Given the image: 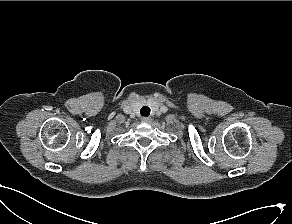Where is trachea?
Returning <instances> with one entry per match:
<instances>
[{
    "label": "trachea",
    "instance_id": "3493384b",
    "mask_svg": "<svg viewBox=\"0 0 292 224\" xmlns=\"http://www.w3.org/2000/svg\"><path fill=\"white\" fill-rule=\"evenodd\" d=\"M142 116L147 117L150 115V108L148 106H143L140 110Z\"/></svg>",
    "mask_w": 292,
    "mask_h": 224
}]
</instances>
